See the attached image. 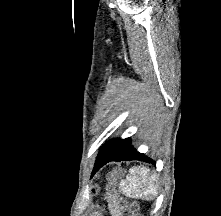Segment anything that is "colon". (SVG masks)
<instances>
[{
    "label": "colon",
    "instance_id": "1",
    "mask_svg": "<svg viewBox=\"0 0 221 216\" xmlns=\"http://www.w3.org/2000/svg\"><path fill=\"white\" fill-rule=\"evenodd\" d=\"M110 190H114V184L110 185ZM119 204L124 216H140L137 203L120 201Z\"/></svg>",
    "mask_w": 221,
    "mask_h": 216
}]
</instances>
